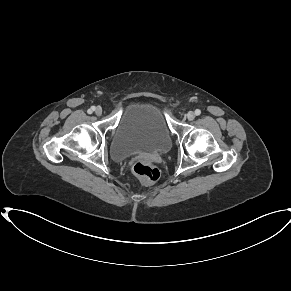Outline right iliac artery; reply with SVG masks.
Listing matches in <instances>:
<instances>
[{
	"instance_id": "right-iliac-artery-1",
	"label": "right iliac artery",
	"mask_w": 291,
	"mask_h": 291,
	"mask_svg": "<svg viewBox=\"0 0 291 291\" xmlns=\"http://www.w3.org/2000/svg\"><path fill=\"white\" fill-rule=\"evenodd\" d=\"M94 110H95V107H94V106H92L90 109H88V111H87V112H88L89 114H91V113H92Z\"/></svg>"
}]
</instances>
